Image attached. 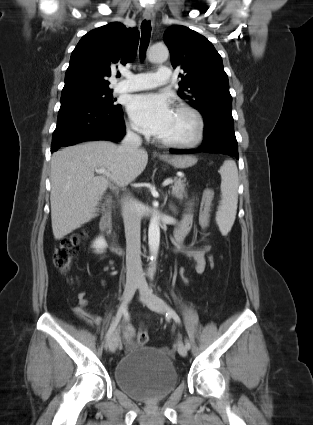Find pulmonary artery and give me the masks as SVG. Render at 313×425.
<instances>
[{
	"label": "pulmonary artery",
	"mask_w": 313,
	"mask_h": 425,
	"mask_svg": "<svg viewBox=\"0 0 313 425\" xmlns=\"http://www.w3.org/2000/svg\"><path fill=\"white\" fill-rule=\"evenodd\" d=\"M126 77L125 81L119 82L114 86L115 92L122 93L155 88L170 82L172 73L170 68L160 67L155 73H128Z\"/></svg>",
	"instance_id": "e3ab8cb5"
}]
</instances>
